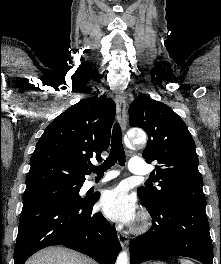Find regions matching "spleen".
<instances>
[{"label":"spleen","mask_w":221,"mask_h":264,"mask_svg":"<svg viewBox=\"0 0 221 264\" xmlns=\"http://www.w3.org/2000/svg\"><path fill=\"white\" fill-rule=\"evenodd\" d=\"M181 264H194L192 261L189 259H180L179 260Z\"/></svg>","instance_id":"obj_1"}]
</instances>
